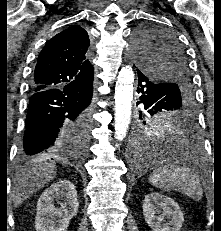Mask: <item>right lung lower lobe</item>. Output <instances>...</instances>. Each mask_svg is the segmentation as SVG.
<instances>
[{
    "mask_svg": "<svg viewBox=\"0 0 221 231\" xmlns=\"http://www.w3.org/2000/svg\"><path fill=\"white\" fill-rule=\"evenodd\" d=\"M92 81L32 93L19 150L21 160L60 156L79 159L85 155L88 143L75 136L72 125L90 110Z\"/></svg>",
    "mask_w": 221,
    "mask_h": 231,
    "instance_id": "1",
    "label": "right lung lower lobe"
}]
</instances>
